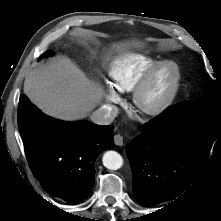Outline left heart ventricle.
Returning a JSON list of instances; mask_svg holds the SVG:
<instances>
[{"label":"left heart ventricle","instance_id":"1","mask_svg":"<svg viewBox=\"0 0 221 221\" xmlns=\"http://www.w3.org/2000/svg\"><path fill=\"white\" fill-rule=\"evenodd\" d=\"M172 78L173 73L170 68L166 67L161 69L156 75L154 83L147 94V101L155 102L161 99L170 89Z\"/></svg>","mask_w":221,"mask_h":221}]
</instances>
